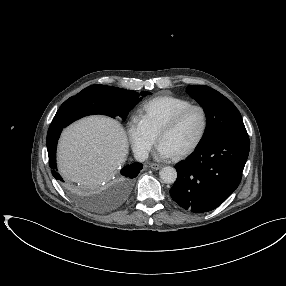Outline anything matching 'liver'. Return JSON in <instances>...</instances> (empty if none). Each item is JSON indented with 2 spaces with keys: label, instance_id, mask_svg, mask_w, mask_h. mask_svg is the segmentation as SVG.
<instances>
[{
  "label": "liver",
  "instance_id": "1",
  "mask_svg": "<svg viewBox=\"0 0 286 286\" xmlns=\"http://www.w3.org/2000/svg\"><path fill=\"white\" fill-rule=\"evenodd\" d=\"M128 140L121 124L104 116L67 127L58 144V166L68 180L84 185L109 181L126 161Z\"/></svg>",
  "mask_w": 286,
  "mask_h": 286
}]
</instances>
